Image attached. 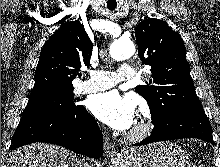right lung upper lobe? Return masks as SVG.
Here are the masks:
<instances>
[{
    "label": "right lung upper lobe",
    "instance_id": "cb5924a9",
    "mask_svg": "<svg viewBox=\"0 0 220 167\" xmlns=\"http://www.w3.org/2000/svg\"><path fill=\"white\" fill-rule=\"evenodd\" d=\"M93 44L84 26L72 21L61 26L45 42L35 71V84L29 99L73 89L82 66L90 65Z\"/></svg>",
    "mask_w": 220,
    "mask_h": 167
}]
</instances>
